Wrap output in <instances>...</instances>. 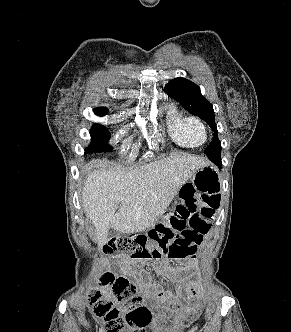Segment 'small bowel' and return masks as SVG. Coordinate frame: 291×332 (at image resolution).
<instances>
[{"label":"small bowel","instance_id":"c3829d8e","mask_svg":"<svg viewBox=\"0 0 291 332\" xmlns=\"http://www.w3.org/2000/svg\"><path fill=\"white\" fill-rule=\"evenodd\" d=\"M193 189L191 184H186L181 192ZM119 263L122 270L129 276L133 277L141 286L143 299L149 303L155 313L154 331L163 332L165 320L168 316L171 306L177 305L179 301L186 297L191 298L195 295L192 286L185 288V296L182 293L166 292L152 281L151 274L143 268V261L132 260L123 255L119 257ZM153 266L164 275H173V270L166 265L165 261H155Z\"/></svg>","mask_w":291,"mask_h":332}]
</instances>
